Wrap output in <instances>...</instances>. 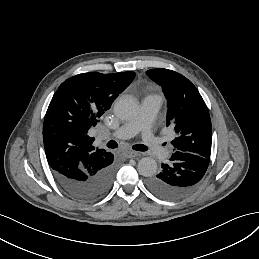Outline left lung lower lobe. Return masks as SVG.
Returning a JSON list of instances; mask_svg holds the SVG:
<instances>
[{
    "mask_svg": "<svg viewBox=\"0 0 259 259\" xmlns=\"http://www.w3.org/2000/svg\"><path fill=\"white\" fill-rule=\"evenodd\" d=\"M209 158L189 152L176 151L162 171L147 180L148 189L155 195L175 200L188 195L203 178Z\"/></svg>",
    "mask_w": 259,
    "mask_h": 259,
    "instance_id": "left-lung-lower-lobe-1",
    "label": "left lung lower lobe"
}]
</instances>
